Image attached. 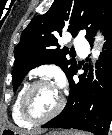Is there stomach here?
Returning a JSON list of instances; mask_svg holds the SVG:
<instances>
[{"label": "stomach", "mask_w": 112, "mask_h": 135, "mask_svg": "<svg viewBox=\"0 0 112 135\" xmlns=\"http://www.w3.org/2000/svg\"><path fill=\"white\" fill-rule=\"evenodd\" d=\"M14 134H18L14 129L11 128H5L2 131H0V135H14ZM46 135H75L72 132H50Z\"/></svg>", "instance_id": "1"}]
</instances>
